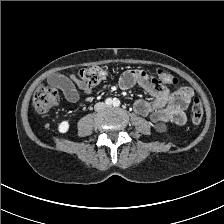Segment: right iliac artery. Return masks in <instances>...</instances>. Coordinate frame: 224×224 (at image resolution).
<instances>
[{"instance_id": "82829eb1", "label": "right iliac artery", "mask_w": 224, "mask_h": 224, "mask_svg": "<svg viewBox=\"0 0 224 224\" xmlns=\"http://www.w3.org/2000/svg\"><path fill=\"white\" fill-rule=\"evenodd\" d=\"M112 99L111 98H107L106 100H105V104L107 105V106H110V105H112Z\"/></svg>"}]
</instances>
